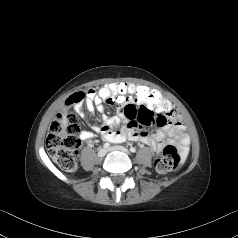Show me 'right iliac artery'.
I'll use <instances>...</instances> for the list:
<instances>
[{"label": "right iliac artery", "mask_w": 238, "mask_h": 238, "mask_svg": "<svg viewBox=\"0 0 238 238\" xmlns=\"http://www.w3.org/2000/svg\"><path fill=\"white\" fill-rule=\"evenodd\" d=\"M109 146H110L109 143H105V144L103 145L104 148H108Z\"/></svg>", "instance_id": "82829eb1"}]
</instances>
